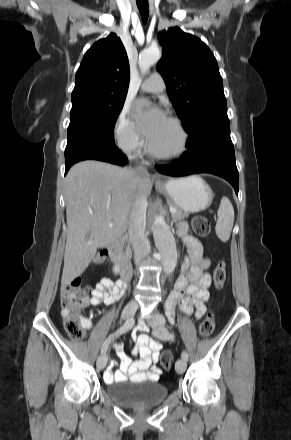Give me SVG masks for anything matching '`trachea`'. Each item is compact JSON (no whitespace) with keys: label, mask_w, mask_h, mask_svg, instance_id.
Masks as SVG:
<instances>
[{"label":"trachea","mask_w":291,"mask_h":440,"mask_svg":"<svg viewBox=\"0 0 291 440\" xmlns=\"http://www.w3.org/2000/svg\"><path fill=\"white\" fill-rule=\"evenodd\" d=\"M142 20L146 23L149 14L148 0H136Z\"/></svg>","instance_id":"trachea-1"}]
</instances>
